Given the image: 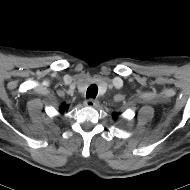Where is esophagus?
Masks as SVG:
<instances>
[{
  "instance_id": "1",
  "label": "esophagus",
  "mask_w": 190,
  "mask_h": 190,
  "mask_svg": "<svg viewBox=\"0 0 190 190\" xmlns=\"http://www.w3.org/2000/svg\"><path fill=\"white\" fill-rule=\"evenodd\" d=\"M97 103L98 102L96 100L90 98V99L85 100L84 105L87 107H95Z\"/></svg>"
}]
</instances>
